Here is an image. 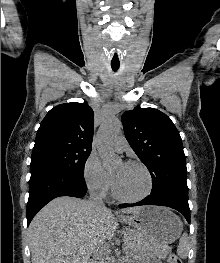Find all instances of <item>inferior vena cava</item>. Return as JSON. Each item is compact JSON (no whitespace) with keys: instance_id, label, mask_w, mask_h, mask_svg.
Segmentation results:
<instances>
[{"instance_id":"602c4592","label":"inferior vena cava","mask_w":220,"mask_h":263,"mask_svg":"<svg viewBox=\"0 0 220 263\" xmlns=\"http://www.w3.org/2000/svg\"><path fill=\"white\" fill-rule=\"evenodd\" d=\"M103 194L98 192L96 189L91 190L89 197V204L93 209H104L105 205L103 203ZM98 260H96V263Z\"/></svg>"}]
</instances>
